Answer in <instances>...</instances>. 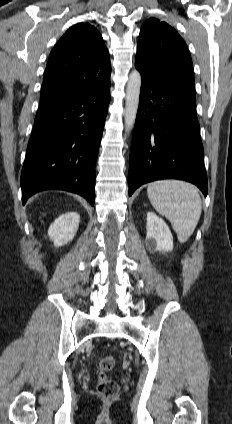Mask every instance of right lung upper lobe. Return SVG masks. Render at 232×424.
Returning a JSON list of instances; mask_svg holds the SVG:
<instances>
[{
  "label": "right lung upper lobe",
  "mask_w": 232,
  "mask_h": 424,
  "mask_svg": "<svg viewBox=\"0 0 232 424\" xmlns=\"http://www.w3.org/2000/svg\"><path fill=\"white\" fill-rule=\"evenodd\" d=\"M109 52L99 31L79 23L66 31L50 53L40 102L78 95L110 84Z\"/></svg>",
  "instance_id": "1"
}]
</instances>
